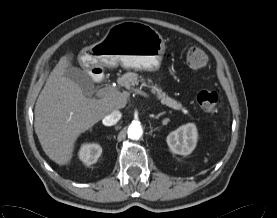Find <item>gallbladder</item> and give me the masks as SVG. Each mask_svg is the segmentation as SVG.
<instances>
[{"mask_svg":"<svg viewBox=\"0 0 277 218\" xmlns=\"http://www.w3.org/2000/svg\"><path fill=\"white\" fill-rule=\"evenodd\" d=\"M64 76L80 86L84 95H89L94 83L91 77L77 67H69L65 70Z\"/></svg>","mask_w":277,"mask_h":218,"instance_id":"obj_1","label":"gallbladder"}]
</instances>
